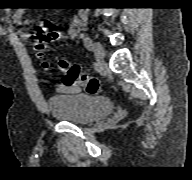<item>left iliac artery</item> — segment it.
Instances as JSON below:
<instances>
[{
    "mask_svg": "<svg viewBox=\"0 0 192 180\" xmlns=\"http://www.w3.org/2000/svg\"><path fill=\"white\" fill-rule=\"evenodd\" d=\"M92 39L89 37V36H85L84 37V46L87 48V49H89V50H91V48H92Z\"/></svg>",
    "mask_w": 192,
    "mask_h": 180,
    "instance_id": "1",
    "label": "left iliac artery"
}]
</instances>
